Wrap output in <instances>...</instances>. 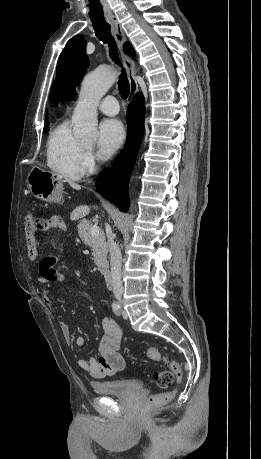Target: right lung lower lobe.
I'll list each match as a JSON object with an SVG mask.
<instances>
[{"label":"right lung lower lobe","instance_id":"right-lung-lower-lobe-1","mask_svg":"<svg viewBox=\"0 0 261 459\" xmlns=\"http://www.w3.org/2000/svg\"><path fill=\"white\" fill-rule=\"evenodd\" d=\"M144 99L136 94L127 108L128 125L126 144L110 169L103 170L97 178V191L117 204L121 211L128 209V181L143 138Z\"/></svg>","mask_w":261,"mask_h":459}]
</instances>
